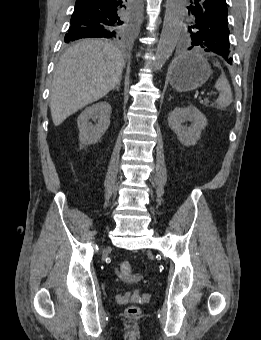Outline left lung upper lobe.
Listing matches in <instances>:
<instances>
[{"label":"left lung upper lobe","mask_w":261,"mask_h":340,"mask_svg":"<svg viewBox=\"0 0 261 340\" xmlns=\"http://www.w3.org/2000/svg\"><path fill=\"white\" fill-rule=\"evenodd\" d=\"M194 46L203 48L225 60L231 55L227 17H208L205 20L191 22L184 36V47L188 50Z\"/></svg>","instance_id":"1"}]
</instances>
